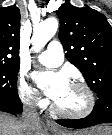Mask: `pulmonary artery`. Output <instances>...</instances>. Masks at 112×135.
Instances as JSON below:
<instances>
[{"label":"pulmonary artery","instance_id":"pulmonary-artery-1","mask_svg":"<svg viewBox=\"0 0 112 135\" xmlns=\"http://www.w3.org/2000/svg\"><path fill=\"white\" fill-rule=\"evenodd\" d=\"M39 62L47 67H58L63 63L64 52L57 40L49 42L47 49L37 56Z\"/></svg>","mask_w":112,"mask_h":135}]
</instances>
